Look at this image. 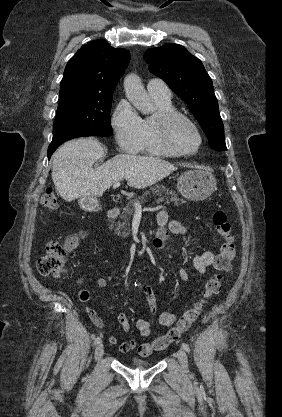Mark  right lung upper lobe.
I'll list each match as a JSON object with an SVG mask.
<instances>
[{
    "mask_svg": "<svg viewBox=\"0 0 282 417\" xmlns=\"http://www.w3.org/2000/svg\"><path fill=\"white\" fill-rule=\"evenodd\" d=\"M129 60L130 54L125 49L113 48L103 39L90 41L69 60L60 93H112Z\"/></svg>",
    "mask_w": 282,
    "mask_h": 417,
    "instance_id": "cb5924a9",
    "label": "right lung upper lobe"
}]
</instances>
